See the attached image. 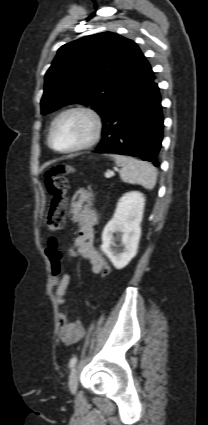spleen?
Instances as JSON below:
<instances>
[{
  "label": "spleen",
  "mask_w": 208,
  "mask_h": 425,
  "mask_svg": "<svg viewBox=\"0 0 208 425\" xmlns=\"http://www.w3.org/2000/svg\"><path fill=\"white\" fill-rule=\"evenodd\" d=\"M113 158L122 166L120 178L123 182L140 184L148 190L154 188L157 171L151 163L121 155H113Z\"/></svg>",
  "instance_id": "1"
}]
</instances>
